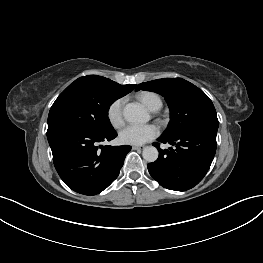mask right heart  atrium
<instances>
[{"label":"right heart atrium","mask_w":263,"mask_h":263,"mask_svg":"<svg viewBox=\"0 0 263 263\" xmlns=\"http://www.w3.org/2000/svg\"><path fill=\"white\" fill-rule=\"evenodd\" d=\"M122 107L123 99L118 98L111 102L107 108V119L114 128H120L124 123Z\"/></svg>","instance_id":"1"}]
</instances>
